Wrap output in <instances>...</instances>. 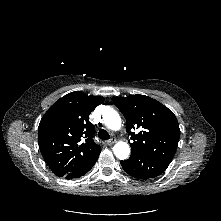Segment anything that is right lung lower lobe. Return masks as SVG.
Segmentation results:
<instances>
[{
  "label": "right lung lower lobe",
  "instance_id": "98d812e1",
  "mask_svg": "<svg viewBox=\"0 0 221 221\" xmlns=\"http://www.w3.org/2000/svg\"><path fill=\"white\" fill-rule=\"evenodd\" d=\"M98 156L99 155L94 156L93 158L88 160L86 163H84L82 166H80L77 169H75L74 171L68 173L64 177L67 179H72V178H77V177L83 176L93 167V165L95 164V162L98 159Z\"/></svg>",
  "mask_w": 221,
  "mask_h": 221
}]
</instances>
